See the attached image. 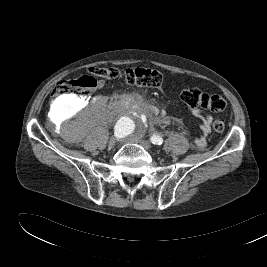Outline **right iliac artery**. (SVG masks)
Segmentation results:
<instances>
[{
  "instance_id": "right-iliac-artery-1",
  "label": "right iliac artery",
  "mask_w": 267,
  "mask_h": 267,
  "mask_svg": "<svg viewBox=\"0 0 267 267\" xmlns=\"http://www.w3.org/2000/svg\"><path fill=\"white\" fill-rule=\"evenodd\" d=\"M127 122V121H126ZM125 121H120V122H118V124L116 125V127H115V136L117 137V138H121V137H124V135H126L127 133V126H126V124H128V123H126Z\"/></svg>"
}]
</instances>
